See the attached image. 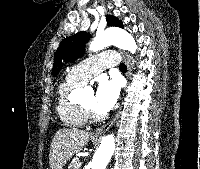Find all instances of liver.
Here are the masks:
<instances>
[{"mask_svg":"<svg viewBox=\"0 0 200 169\" xmlns=\"http://www.w3.org/2000/svg\"><path fill=\"white\" fill-rule=\"evenodd\" d=\"M90 134L83 130L63 128L51 142L49 162L51 169H63L64 165L87 144Z\"/></svg>","mask_w":200,"mask_h":169,"instance_id":"1","label":"liver"}]
</instances>
